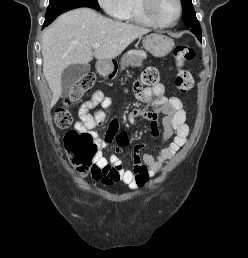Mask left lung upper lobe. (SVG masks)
Segmentation results:
<instances>
[{"instance_id":"5c2ea615","label":"left lung upper lobe","mask_w":248,"mask_h":258,"mask_svg":"<svg viewBox=\"0 0 248 258\" xmlns=\"http://www.w3.org/2000/svg\"><path fill=\"white\" fill-rule=\"evenodd\" d=\"M182 2V16L185 26L188 29H201L200 24L196 18L194 8L191 0H181Z\"/></svg>"}]
</instances>
